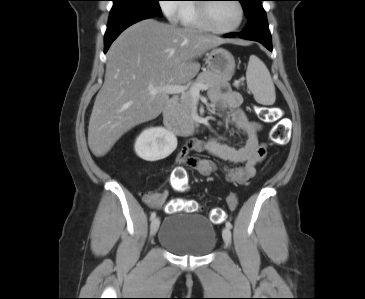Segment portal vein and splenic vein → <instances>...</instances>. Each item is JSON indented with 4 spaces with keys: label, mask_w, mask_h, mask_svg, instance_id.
<instances>
[{
    "label": "portal vein and splenic vein",
    "mask_w": 365,
    "mask_h": 299,
    "mask_svg": "<svg viewBox=\"0 0 365 299\" xmlns=\"http://www.w3.org/2000/svg\"><path fill=\"white\" fill-rule=\"evenodd\" d=\"M207 89L208 86L204 84H197L195 86L190 87L189 90L184 85H167L161 88L150 87L149 92L151 95H156L159 92H164L167 94H184L188 90V92L192 95V97H199L200 91Z\"/></svg>",
    "instance_id": "1"
}]
</instances>
